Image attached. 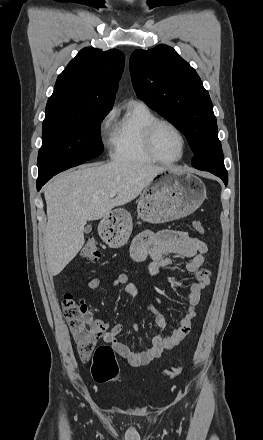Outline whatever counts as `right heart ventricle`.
Wrapping results in <instances>:
<instances>
[{
	"label": "right heart ventricle",
	"instance_id": "obj_1",
	"mask_svg": "<svg viewBox=\"0 0 263 440\" xmlns=\"http://www.w3.org/2000/svg\"><path fill=\"white\" fill-rule=\"evenodd\" d=\"M157 116L143 103L129 104L125 115L114 128L111 139V156L127 163L153 162L144 148V130Z\"/></svg>",
	"mask_w": 263,
	"mask_h": 440
}]
</instances>
